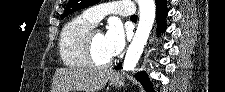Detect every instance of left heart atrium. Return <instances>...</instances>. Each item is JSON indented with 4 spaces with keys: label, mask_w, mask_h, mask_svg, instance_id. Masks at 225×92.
<instances>
[{
    "label": "left heart atrium",
    "mask_w": 225,
    "mask_h": 92,
    "mask_svg": "<svg viewBox=\"0 0 225 92\" xmlns=\"http://www.w3.org/2000/svg\"><path fill=\"white\" fill-rule=\"evenodd\" d=\"M107 53L112 58L118 55L125 44V35L122 25L118 21H112L104 34Z\"/></svg>",
    "instance_id": "left-heart-atrium-1"
}]
</instances>
